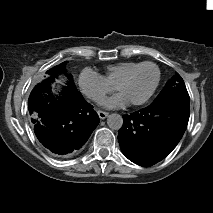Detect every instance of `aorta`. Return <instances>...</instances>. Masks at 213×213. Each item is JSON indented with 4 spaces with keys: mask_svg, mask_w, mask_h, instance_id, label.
<instances>
[{
    "mask_svg": "<svg viewBox=\"0 0 213 213\" xmlns=\"http://www.w3.org/2000/svg\"><path fill=\"white\" fill-rule=\"evenodd\" d=\"M107 125L111 130H120L123 126V118L118 113H111L107 117Z\"/></svg>",
    "mask_w": 213,
    "mask_h": 213,
    "instance_id": "obj_1",
    "label": "aorta"
}]
</instances>
